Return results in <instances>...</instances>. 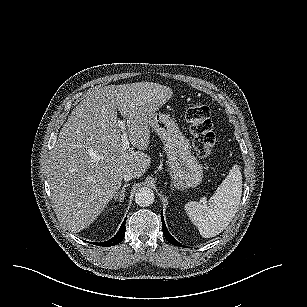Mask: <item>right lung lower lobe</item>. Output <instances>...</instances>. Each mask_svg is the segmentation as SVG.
I'll list each match as a JSON object with an SVG mask.
<instances>
[{
  "label": "right lung lower lobe",
  "mask_w": 307,
  "mask_h": 307,
  "mask_svg": "<svg viewBox=\"0 0 307 307\" xmlns=\"http://www.w3.org/2000/svg\"><path fill=\"white\" fill-rule=\"evenodd\" d=\"M125 221H126V219L123 221L118 233L112 239L105 241V242H100V243L96 242V243H92V244L99 245V246H105V247L117 245L125 237V228H126L125 227Z\"/></svg>",
  "instance_id": "obj_1"
}]
</instances>
